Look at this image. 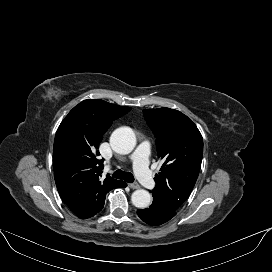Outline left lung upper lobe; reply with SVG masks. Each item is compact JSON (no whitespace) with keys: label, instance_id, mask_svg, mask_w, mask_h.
Here are the masks:
<instances>
[{"label":"left lung upper lobe","instance_id":"5c2ea615","mask_svg":"<svg viewBox=\"0 0 272 272\" xmlns=\"http://www.w3.org/2000/svg\"><path fill=\"white\" fill-rule=\"evenodd\" d=\"M144 118L156 137L160 173L152 190L156 199L177 210L190 195L197 180L203 139L197 126L183 113L170 108L144 109Z\"/></svg>","mask_w":272,"mask_h":272}]
</instances>
